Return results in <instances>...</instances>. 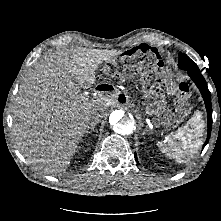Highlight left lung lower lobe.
<instances>
[{
  "instance_id": "obj_1",
  "label": "left lung lower lobe",
  "mask_w": 221,
  "mask_h": 221,
  "mask_svg": "<svg viewBox=\"0 0 221 221\" xmlns=\"http://www.w3.org/2000/svg\"><path fill=\"white\" fill-rule=\"evenodd\" d=\"M188 75L191 77V79L193 80V82L196 84V86L199 88L202 97L205 101V106H206V110H207V116H208V134H207V139L205 144L203 145V148L206 146V144L209 141L210 138V134H211V128H212V106H211V96H210V92L208 90V87L206 85V81L204 79V77L202 76L200 70L197 71H188ZM135 160L138 162L137 160V156L135 153Z\"/></svg>"
}]
</instances>
